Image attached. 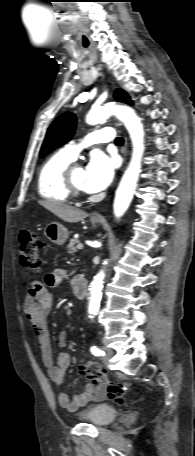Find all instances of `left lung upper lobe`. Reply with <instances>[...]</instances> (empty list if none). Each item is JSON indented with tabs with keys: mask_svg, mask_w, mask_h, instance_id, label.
Instances as JSON below:
<instances>
[{
	"mask_svg": "<svg viewBox=\"0 0 195 456\" xmlns=\"http://www.w3.org/2000/svg\"><path fill=\"white\" fill-rule=\"evenodd\" d=\"M114 98L120 102L132 104L130 97L125 91L117 89ZM76 128V117L72 113L60 115L49 127L45 140L40 150V157L43 158L56 147L68 142L74 135Z\"/></svg>",
	"mask_w": 195,
	"mask_h": 456,
	"instance_id": "5c2ea615",
	"label": "left lung upper lobe"
}]
</instances>
